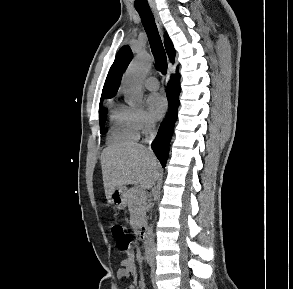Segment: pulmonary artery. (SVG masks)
Masks as SVG:
<instances>
[{"label": "pulmonary artery", "mask_w": 293, "mask_h": 289, "mask_svg": "<svg viewBox=\"0 0 293 289\" xmlns=\"http://www.w3.org/2000/svg\"><path fill=\"white\" fill-rule=\"evenodd\" d=\"M145 86L147 87V89L155 91L159 89L160 84L157 78L149 77L145 81Z\"/></svg>", "instance_id": "1"}]
</instances>
